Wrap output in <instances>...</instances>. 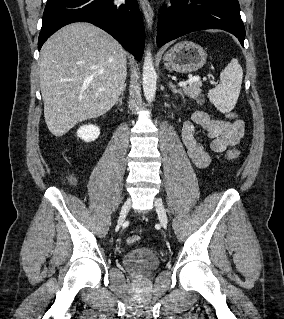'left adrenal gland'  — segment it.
Returning a JSON list of instances; mask_svg holds the SVG:
<instances>
[{"label": "left adrenal gland", "mask_w": 284, "mask_h": 319, "mask_svg": "<svg viewBox=\"0 0 284 319\" xmlns=\"http://www.w3.org/2000/svg\"><path fill=\"white\" fill-rule=\"evenodd\" d=\"M169 87L173 93H179L182 96V98H184L183 92L180 89H177V87L172 83V81L169 82Z\"/></svg>", "instance_id": "obj_1"}]
</instances>
